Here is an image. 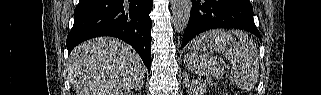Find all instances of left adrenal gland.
Segmentation results:
<instances>
[{
  "mask_svg": "<svg viewBox=\"0 0 321 95\" xmlns=\"http://www.w3.org/2000/svg\"><path fill=\"white\" fill-rule=\"evenodd\" d=\"M185 85L189 87V81L185 79Z\"/></svg>",
  "mask_w": 321,
  "mask_h": 95,
  "instance_id": "left-adrenal-gland-1",
  "label": "left adrenal gland"
}]
</instances>
